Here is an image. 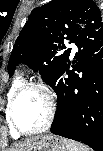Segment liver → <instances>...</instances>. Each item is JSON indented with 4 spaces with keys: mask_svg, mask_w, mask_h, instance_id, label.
<instances>
[{
    "mask_svg": "<svg viewBox=\"0 0 103 151\" xmlns=\"http://www.w3.org/2000/svg\"><path fill=\"white\" fill-rule=\"evenodd\" d=\"M35 140V138L27 139L24 142H20L15 144V146L11 149V151H26L27 148L31 145V143Z\"/></svg>",
    "mask_w": 103,
    "mask_h": 151,
    "instance_id": "1",
    "label": "liver"
}]
</instances>
